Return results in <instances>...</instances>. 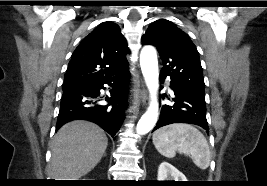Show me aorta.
<instances>
[{
    "label": "aorta",
    "instance_id": "obj_1",
    "mask_svg": "<svg viewBox=\"0 0 267 186\" xmlns=\"http://www.w3.org/2000/svg\"><path fill=\"white\" fill-rule=\"evenodd\" d=\"M140 66L151 95L149 107L142 115L136 127L137 133L143 135L153 129L158 118L157 91L159 88V70L157 53L153 47L145 46L141 50Z\"/></svg>",
    "mask_w": 267,
    "mask_h": 186
}]
</instances>
